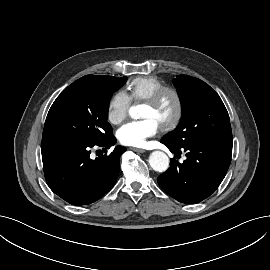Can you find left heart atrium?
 <instances>
[{"label": "left heart atrium", "mask_w": 270, "mask_h": 270, "mask_svg": "<svg viewBox=\"0 0 270 270\" xmlns=\"http://www.w3.org/2000/svg\"><path fill=\"white\" fill-rule=\"evenodd\" d=\"M160 125L153 118L131 121L124 124L117 132L119 141L128 146L140 147L146 140L158 133Z\"/></svg>", "instance_id": "obj_1"}]
</instances>
